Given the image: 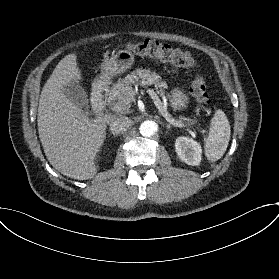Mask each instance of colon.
<instances>
[{
	"instance_id": "obj_1",
	"label": "colon",
	"mask_w": 279,
	"mask_h": 279,
	"mask_svg": "<svg viewBox=\"0 0 279 279\" xmlns=\"http://www.w3.org/2000/svg\"><path fill=\"white\" fill-rule=\"evenodd\" d=\"M127 48L139 56L156 58L176 67L189 68L194 66L193 56L168 44L146 40L140 43L129 44ZM191 91L195 99L202 105L207 106L210 102L207 82L202 76H196L191 82Z\"/></svg>"
}]
</instances>
